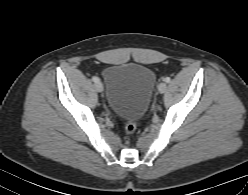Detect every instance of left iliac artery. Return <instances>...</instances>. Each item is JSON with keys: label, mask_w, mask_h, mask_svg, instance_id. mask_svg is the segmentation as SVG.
Returning a JSON list of instances; mask_svg holds the SVG:
<instances>
[{"label": "left iliac artery", "mask_w": 248, "mask_h": 195, "mask_svg": "<svg viewBox=\"0 0 248 195\" xmlns=\"http://www.w3.org/2000/svg\"><path fill=\"white\" fill-rule=\"evenodd\" d=\"M164 81H165L166 83H169V82L171 81V79H170L169 77H166V78L164 79Z\"/></svg>", "instance_id": "left-iliac-artery-1"}]
</instances>
